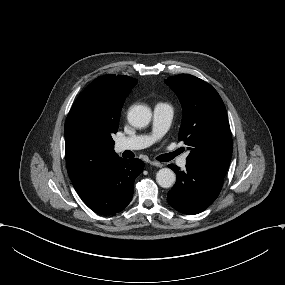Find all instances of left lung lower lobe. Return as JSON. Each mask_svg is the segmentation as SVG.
I'll list each match as a JSON object with an SVG mask.
<instances>
[{
	"label": "left lung lower lobe",
	"instance_id": "obj_1",
	"mask_svg": "<svg viewBox=\"0 0 285 285\" xmlns=\"http://www.w3.org/2000/svg\"><path fill=\"white\" fill-rule=\"evenodd\" d=\"M177 175L174 187L168 192L170 206L183 214H198L208 208L218 197L223 178L186 164V171H178L169 164Z\"/></svg>",
	"mask_w": 285,
	"mask_h": 285
}]
</instances>
